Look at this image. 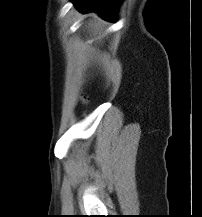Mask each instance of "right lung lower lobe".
<instances>
[{
  "label": "right lung lower lobe",
  "mask_w": 202,
  "mask_h": 217,
  "mask_svg": "<svg viewBox=\"0 0 202 217\" xmlns=\"http://www.w3.org/2000/svg\"><path fill=\"white\" fill-rule=\"evenodd\" d=\"M81 13L96 12L103 19L115 21V13L122 0H71Z\"/></svg>",
  "instance_id": "obj_1"
}]
</instances>
